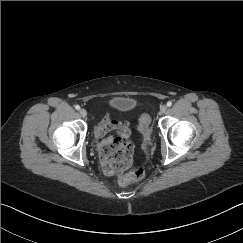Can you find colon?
<instances>
[{
    "instance_id": "5ec220e1",
    "label": "colon",
    "mask_w": 243,
    "mask_h": 243,
    "mask_svg": "<svg viewBox=\"0 0 243 243\" xmlns=\"http://www.w3.org/2000/svg\"><path fill=\"white\" fill-rule=\"evenodd\" d=\"M149 124H150L149 116L147 114H143L138 124V130L143 137V142L145 145H147L150 140ZM144 176H145V172L143 168L141 167L133 168L130 169L125 175L121 176L117 182L120 186H126L132 182L143 179Z\"/></svg>"
}]
</instances>
